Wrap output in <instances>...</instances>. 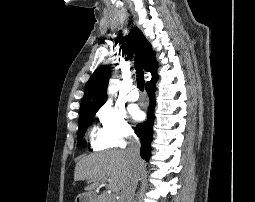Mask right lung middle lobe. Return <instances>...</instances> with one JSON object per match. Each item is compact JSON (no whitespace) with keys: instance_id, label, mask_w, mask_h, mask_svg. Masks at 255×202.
Segmentation results:
<instances>
[{"instance_id":"right-lung-middle-lobe-1","label":"right lung middle lobe","mask_w":255,"mask_h":202,"mask_svg":"<svg viewBox=\"0 0 255 202\" xmlns=\"http://www.w3.org/2000/svg\"><path fill=\"white\" fill-rule=\"evenodd\" d=\"M97 111L98 109H88L79 111V128H83L82 129L83 135L86 131V126L90 123V121L92 120Z\"/></svg>"}]
</instances>
